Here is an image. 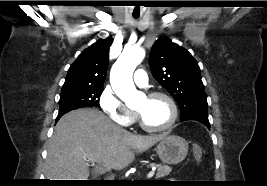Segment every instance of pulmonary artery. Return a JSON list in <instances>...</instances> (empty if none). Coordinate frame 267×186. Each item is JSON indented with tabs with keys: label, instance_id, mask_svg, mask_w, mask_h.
<instances>
[{
	"label": "pulmonary artery",
	"instance_id": "obj_1",
	"mask_svg": "<svg viewBox=\"0 0 267 186\" xmlns=\"http://www.w3.org/2000/svg\"><path fill=\"white\" fill-rule=\"evenodd\" d=\"M133 79L138 86L144 87L148 84V76L144 70H137L134 73Z\"/></svg>",
	"mask_w": 267,
	"mask_h": 186
}]
</instances>
